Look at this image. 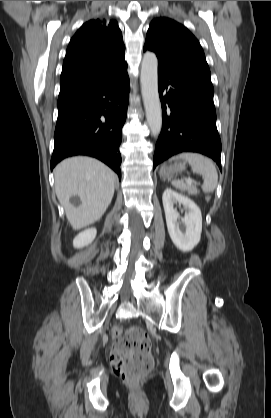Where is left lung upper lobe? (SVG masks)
<instances>
[{"label":"left lung upper lobe","instance_id":"obj_1","mask_svg":"<svg viewBox=\"0 0 271 418\" xmlns=\"http://www.w3.org/2000/svg\"><path fill=\"white\" fill-rule=\"evenodd\" d=\"M144 48L154 51L160 62L210 80V70L199 41L172 19L157 18L151 22Z\"/></svg>","mask_w":271,"mask_h":418}]
</instances>
